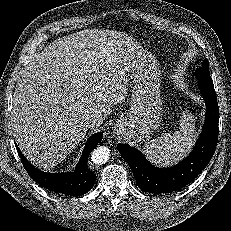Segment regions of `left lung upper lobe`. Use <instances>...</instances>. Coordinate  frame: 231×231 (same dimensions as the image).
<instances>
[{
  "label": "left lung upper lobe",
  "instance_id": "1",
  "mask_svg": "<svg viewBox=\"0 0 231 231\" xmlns=\"http://www.w3.org/2000/svg\"><path fill=\"white\" fill-rule=\"evenodd\" d=\"M195 76L198 78L200 81H206V82H213L210 76L209 72V63L208 60L205 59L203 61L202 67L198 68L195 71Z\"/></svg>",
  "mask_w": 231,
  "mask_h": 231
}]
</instances>
